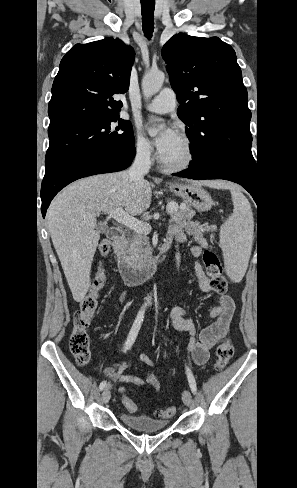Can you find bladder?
Returning a JSON list of instances; mask_svg holds the SVG:
<instances>
[{"label":"bladder","instance_id":"obj_1","mask_svg":"<svg viewBox=\"0 0 297 488\" xmlns=\"http://www.w3.org/2000/svg\"><path fill=\"white\" fill-rule=\"evenodd\" d=\"M120 419L126 427L139 432H157L163 430L168 425L166 420L156 419L145 415L122 413Z\"/></svg>","mask_w":297,"mask_h":488}]
</instances>
